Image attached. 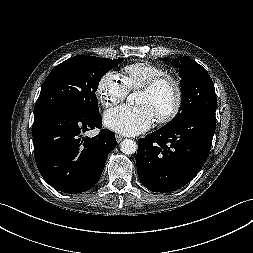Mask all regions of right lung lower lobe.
Instances as JSON below:
<instances>
[{
    "label": "right lung lower lobe",
    "mask_w": 253,
    "mask_h": 253,
    "mask_svg": "<svg viewBox=\"0 0 253 253\" xmlns=\"http://www.w3.org/2000/svg\"><path fill=\"white\" fill-rule=\"evenodd\" d=\"M94 128H101L99 112L80 115L63 109H43L35 113V160L42 177L52 187L80 193L98 182L107 155L117 142L114 133L106 129L95 137H83Z\"/></svg>",
    "instance_id": "98d812e1"
}]
</instances>
